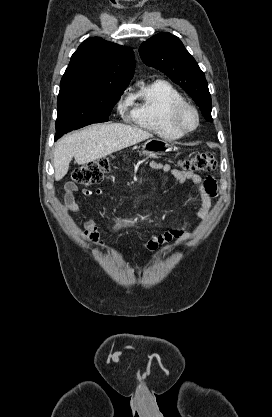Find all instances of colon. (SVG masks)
Instances as JSON below:
<instances>
[{
    "label": "colon",
    "mask_w": 272,
    "mask_h": 417,
    "mask_svg": "<svg viewBox=\"0 0 272 417\" xmlns=\"http://www.w3.org/2000/svg\"><path fill=\"white\" fill-rule=\"evenodd\" d=\"M182 168L189 172H212L217 162L212 153H200L180 162ZM113 167L110 158H102L77 167L71 174L75 184L93 185L99 183Z\"/></svg>",
    "instance_id": "colon-1"
}]
</instances>
